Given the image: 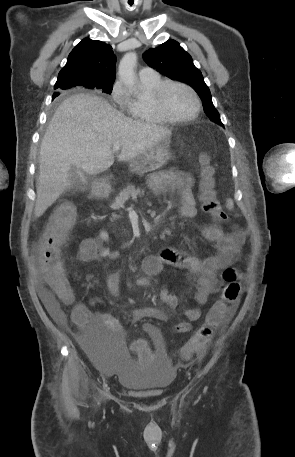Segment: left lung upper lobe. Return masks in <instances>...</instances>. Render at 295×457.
Instances as JSON below:
<instances>
[{"instance_id": "obj_1", "label": "left lung upper lobe", "mask_w": 295, "mask_h": 457, "mask_svg": "<svg viewBox=\"0 0 295 457\" xmlns=\"http://www.w3.org/2000/svg\"><path fill=\"white\" fill-rule=\"evenodd\" d=\"M143 58L150 67L164 76L190 85L201 98L206 115L223 126L201 71L194 66L192 57L177 41L168 40L156 48H151L143 54Z\"/></svg>"}]
</instances>
